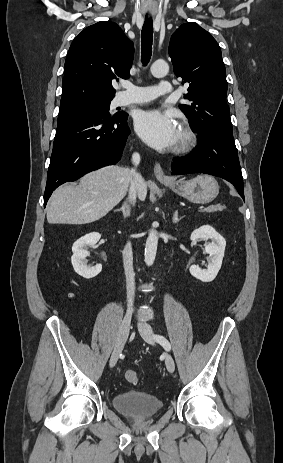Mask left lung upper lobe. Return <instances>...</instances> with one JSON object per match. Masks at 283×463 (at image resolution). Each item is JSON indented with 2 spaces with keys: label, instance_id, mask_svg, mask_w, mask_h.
I'll return each instance as SVG.
<instances>
[{
  "label": "left lung upper lobe",
  "instance_id": "obj_1",
  "mask_svg": "<svg viewBox=\"0 0 283 463\" xmlns=\"http://www.w3.org/2000/svg\"><path fill=\"white\" fill-rule=\"evenodd\" d=\"M169 55L176 76L183 79L182 84L189 83L184 98L192 103L180 109L191 120V129L234 142L226 71L216 40L198 24L185 23L171 36Z\"/></svg>",
  "mask_w": 283,
  "mask_h": 463
}]
</instances>
